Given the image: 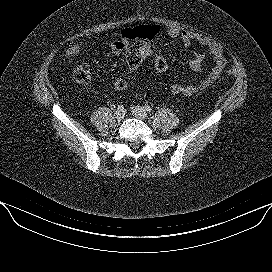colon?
Here are the masks:
<instances>
[{
    "instance_id": "1",
    "label": "colon",
    "mask_w": 272,
    "mask_h": 272,
    "mask_svg": "<svg viewBox=\"0 0 272 272\" xmlns=\"http://www.w3.org/2000/svg\"><path fill=\"white\" fill-rule=\"evenodd\" d=\"M133 29H134L133 30L134 35L137 38H139L146 47L151 46V41L153 40V38L157 35L159 31L158 27L153 24L139 26ZM87 45H88L87 41H78L74 43L73 45H71L70 47H68L64 51V55L67 57L76 55L80 53L82 50H84L87 47ZM153 64H154L155 70L159 73H163L167 71L168 69L167 60L160 55L154 58ZM228 74L230 76H234L236 75V70L231 68L228 70ZM73 77L77 83L87 84L92 79V71L87 64H80L74 69ZM113 86L116 91H123L128 87V83L125 79H117L114 82Z\"/></svg>"
}]
</instances>
